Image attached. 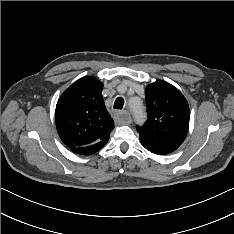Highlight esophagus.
I'll use <instances>...</instances> for the list:
<instances>
[{"label": "esophagus", "instance_id": "obj_1", "mask_svg": "<svg viewBox=\"0 0 234 234\" xmlns=\"http://www.w3.org/2000/svg\"><path fill=\"white\" fill-rule=\"evenodd\" d=\"M121 119L123 120V122L129 124L131 123V115L128 111H122L119 113Z\"/></svg>", "mask_w": 234, "mask_h": 234}]
</instances>
